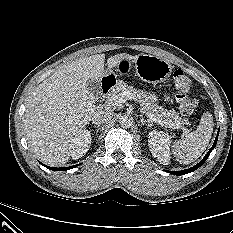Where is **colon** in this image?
Returning <instances> with one entry per match:
<instances>
[{"label": "colon", "mask_w": 233, "mask_h": 233, "mask_svg": "<svg viewBox=\"0 0 233 233\" xmlns=\"http://www.w3.org/2000/svg\"><path fill=\"white\" fill-rule=\"evenodd\" d=\"M173 80L177 90L176 99L180 112L185 116L193 114L197 107V100L191 94L192 79L183 70L178 69L173 74Z\"/></svg>", "instance_id": "colon-1"}]
</instances>
